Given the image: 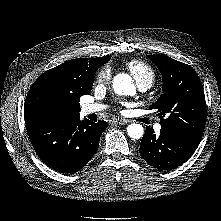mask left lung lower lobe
Returning a JSON list of instances; mask_svg holds the SVG:
<instances>
[{"mask_svg": "<svg viewBox=\"0 0 221 221\" xmlns=\"http://www.w3.org/2000/svg\"><path fill=\"white\" fill-rule=\"evenodd\" d=\"M201 139L165 130L154 134L153 128L146 127L139 152L153 167L169 170L186 162L195 152Z\"/></svg>", "mask_w": 221, "mask_h": 221, "instance_id": "0a47b994", "label": "left lung lower lobe"}]
</instances>
